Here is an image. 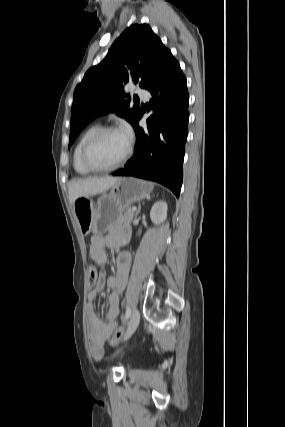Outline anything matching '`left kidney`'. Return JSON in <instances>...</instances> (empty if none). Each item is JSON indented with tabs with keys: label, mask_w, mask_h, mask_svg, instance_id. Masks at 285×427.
I'll list each match as a JSON object with an SVG mask.
<instances>
[{
	"label": "left kidney",
	"mask_w": 285,
	"mask_h": 427,
	"mask_svg": "<svg viewBox=\"0 0 285 427\" xmlns=\"http://www.w3.org/2000/svg\"><path fill=\"white\" fill-rule=\"evenodd\" d=\"M167 203L164 201H158L156 202L150 211V218L151 220L156 223L160 224L163 223L167 218Z\"/></svg>",
	"instance_id": "left-kidney-1"
}]
</instances>
